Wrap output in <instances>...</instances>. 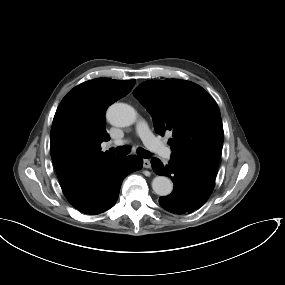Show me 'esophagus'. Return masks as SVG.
<instances>
[{
    "label": "esophagus",
    "instance_id": "esophagus-1",
    "mask_svg": "<svg viewBox=\"0 0 285 285\" xmlns=\"http://www.w3.org/2000/svg\"><path fill=\"white\" fill-rule=\"evenodd\" d=\"M143 167L147 168V169L151 167V162H150L149 159H144L143 160Z\"/></svg>",
    "mask_w": 285,
    "mask_h": 285
}]
</instances>
